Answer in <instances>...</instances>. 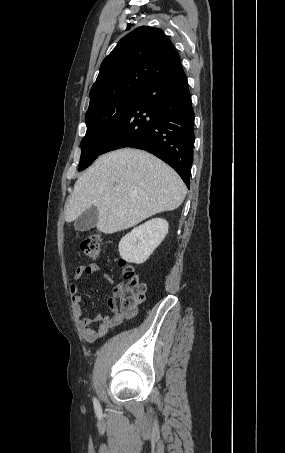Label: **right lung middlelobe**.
<instances>
[{
	"instance_id": "obj_1",
	"label": "right lung middle lobe",
	"mask_w": 285,
	"mask_h": 453,
	"mask_svg": "<svg viewBox=\"0 0 285 453\" xmlns=\"http://www.w3.org/2000/svg\"><path fill=\"white\" fill-rule=\"evenodd\" d=\"M139 96L140 91L129 92L87 110L85 114L87 132L81 141L79 171L90 166L102 154L104 146L117 131Z\"/></svg>"
}]
</instances>
